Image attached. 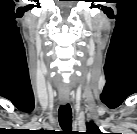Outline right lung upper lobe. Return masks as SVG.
Returning a JSON list of instances; mask_svg holds the SVG:
<instances>
[{
    "instance_id": "1",
    "label": "right lung upper lobe",
    "mask_w": 137,
    "mask_h": 134,
    "mask_svg": "<svg viewBox=\"0 0 137 134\" xmlns=\"http://www.w3.org/2000/svg\"><path fill=\"white\" fill-rule=\"evenodd\" d=\"M39 132L41 133V132H44V131H43V130H40Z\"/></svg>"
}]
</instances>
